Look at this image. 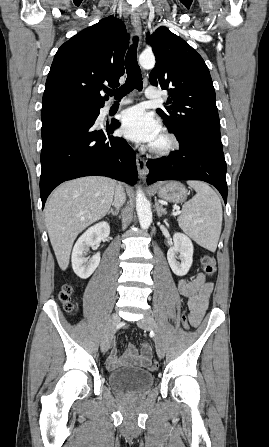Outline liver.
Masks as SVG:
<instances>
[{
  "instance_id": "1",
  "label": "liver",
  "mask_w": 269,
  "mask_h": 447,
  "mask_svg": "<svg viewBox=\"0 0 269 447\" xmlns=\"http://www.w3.org/2000/svg\"><path fill=\"white\" fill-rule=\"evenodd\" d=\"M116 182L90 176L61 184L45 206V222L61 269L69 265L75 237L88 225L106 216L112 204Z\"/></svg>"
}]
</instances>
